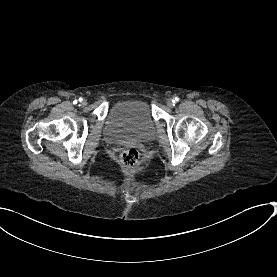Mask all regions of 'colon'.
Instances as JSON below:
<instances>
[{"label":"colon","instance_id":"1","mask_svg":"<svg viewBox=\"0 0 277 277\" xmlns=\"http://www.w3.org/2000/svg\"><path fill=\"white\" fill-rule=\"evenodd\" d=\"M118 164L122 165L123 169L134 177L143 175L145 166L141 162V155L138 146L129 144L124 149L118 151L116 155Z\"/></svg>","mask_w":277,"mask_h":277}]
</instances>
